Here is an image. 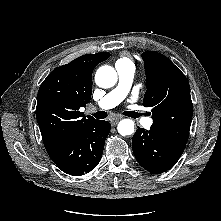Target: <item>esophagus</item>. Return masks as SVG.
<instances>
[{
	"instance_id": "1",
	"label": "esophagus",
	"mask_w": 221,
	"mask_h": 221,
	"mask_svg": "<svg viewBox=\"0 0 221 221\" xmlns=\"http://www.w3.org/2000/svg\"><path fill=\"white\" fill-rule=\"evenodd\" d=\"M121 118L120 117H114V118H112L110 121H111V124L114 126V125H116L118 122H119V120H120Z\"/></svg>"
}]
</instances>
